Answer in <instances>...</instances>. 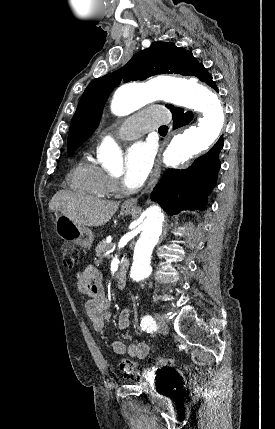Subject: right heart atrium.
I'll use <instances>...</instances> for the list:
<instances>
[{
	"label": "right heart atrium",
	"instance_id": "d8ad5b80",
	"mask_svg": "<svg viewBox=\"0 0 275 429\" xmlns=\"http://www.w3.org/2000/svg\"><path fill=\"white\" fill-rule=\"evenodd\" d=\"M111 184H112L113 189L117 187V183L113 179H111Z\"/></svg>",
	"mask_w": 275,
	"mask_h": 429
}]
</instances>
